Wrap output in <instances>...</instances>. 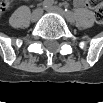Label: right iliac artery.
<instances>
[{"label":"right iliac artery","instance_id":"right-iliac-artery-1","mask_svg":"<svg viewBox=\"0 0 103 103\" xmlns=\"http://www.w3.org/2000/svg\"><path fill=\"white\" fill-rule=\"evenodd\" d=\"M53 5V1L52 0H45L42 2L41 6L43 8H47V7H51Z\"/></svg>","mask_w":103,"mask_h":103}]
</instances>
